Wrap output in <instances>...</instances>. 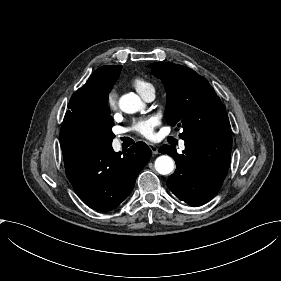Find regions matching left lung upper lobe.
<instances>
[{"instance_id": "left-lung-upper-lobe-1", "label": "left lung upper lobe", "mask_w": 281, "mask_h": 281, "mask_svg": "<svg viewBox=\"0 0 281 281\" xmlns=\"http://www.w3.org/2000/svg\"><path fill=\"white\" fill-rule=\"evenodd\" d=\"M151 69L166 89V122L183 128L181 139L231 137L225 107L204 77L170 62L153 63Z\"/></svg>"}]
</instances>
